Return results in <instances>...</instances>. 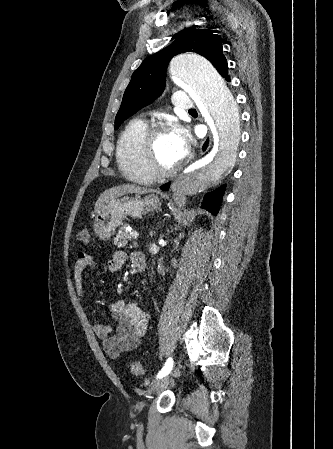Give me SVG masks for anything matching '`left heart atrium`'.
<instances>
[{
	"instance_id": "39dd6f15",
	"label": "left heart atrium",
	"mask_w": 333,
	"mask_h": 449,
	"mask_svg": "<svg viewBox=\"0 0 333 449\" xmlns=\"http://www.w3.org/2000/svg\"><path fill=\"white\" fill-rule=\"evenodd\" d=\"M171 136L179 157L184 158L189 151V137L182 128H175L171 132Z\"/></svg>"
}]
</instances>
